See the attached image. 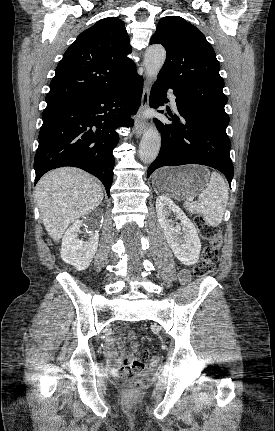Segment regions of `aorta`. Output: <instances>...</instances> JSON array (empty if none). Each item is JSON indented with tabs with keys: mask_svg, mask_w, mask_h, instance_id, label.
Segmentation results:
<instances>
[{
	"mask_svg": "<svg viewBox=\"0 0 275 431\" xmlns=\"http://www.w3.org/2000/svg\"><path fill=\"white\" fill-rule=\"evenodd\" d=\"M166 51L161 45L149 47L144 56L146 76L155 80L165 62ZM161 146V136L154 125H151L143 134L139 146V156L143 163L151 164L158 156Z\"/></svg>",
	"mask_w": 275,
	"mask_h": 431,
	"instance_id": "1",
	"label": "aorta"
}]
</instances>
